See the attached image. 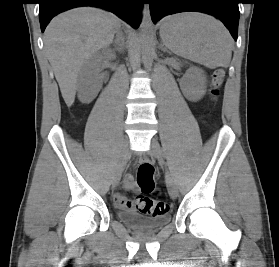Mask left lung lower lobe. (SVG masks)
Masks as SVG:
<instances>
[{
  "label": "left lung lower lobe",
  "mask_w": 279,
  "mask_h": 267,
  "mask_svg": "<svg viewBox=\"0 0 279 267\" xmlns=\"http://www.w3.org/2000/svg\"><path fill=\"white\" fill-rule=\"evenodd\" d=\"M152 21L186 11L204 12L219 18L237 40L239 21V0H150Z\"/></svg>",
  "instance_id": "1"
}]
</instances>
